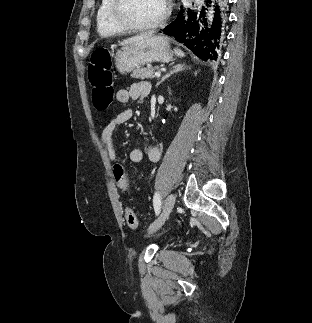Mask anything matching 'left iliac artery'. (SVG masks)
<instances>
[{
	"instance_id": "left-iliac-artery-1",
	"label": "left iliac artery",
	"mask_w": 312,
	"mask_h": 323,
	"mask_svg": "<svg viewBox=\"0 0 312 323\" xmlns=\"http://www.w3.org/2000/svg\"><path fill=\"white\" fill-rule=\"evenodd\" d=\"M153 205H154L155 213L159 214L160 206H161V197L159 193H155L153 197Z\"/></svg>"
}]
</instances>
